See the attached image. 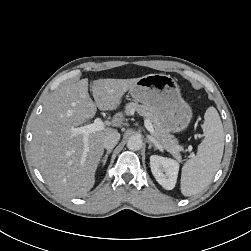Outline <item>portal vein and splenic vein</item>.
<instances>
[{
    "mask_svg": "<svg viewBox=\"0 0 251 251\" xmlns=\"http://www.w3.org/2000/svg\"><path fill=\"white\" fill-rule=\"evenodd\" d=\"M144 125H145L146 129L151 134L154 133L153 125L151 124V122L148 119L144 120ZM104 126L105 125L102 122L101 118H96L94 120V123L88 124V125H85V126H81V127H77V128H72L71 132L73 134H75V135H79V134L83 135V141H84L85 145L87 146L89 134L97 132V131H100V130H103ZM156 144H157V146L159 148L161 147L158 143H156ZM177 149H179L181 151V150H183V147L182 146H178Z\"/></svg>",
    "mask_w": 251,
    "mask_h": 251,
    "instance_id": "18ae733b",
    "label": "portal vein and splenic vein"
}]
</instances>
